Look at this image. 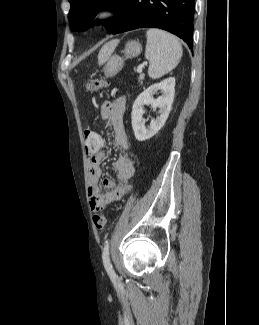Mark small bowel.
I'll return each instance as SVG.
<instances>
[{
	"label": "small bowel",
	"mask_w": 259,
	"mask_h": 325,
	"mask_svg": "<svg viewBox=\"0 0 259 325\" xmlns=\"http://www.w3.org/2000/svg\"><path fill=\"white\" fill-rule=\"evenodd\" d=\"M125 109V99L108 100L101 106L100 117L106 127L112 128L115 144L124 151H127L129 143L124 127ZM102 139L103 144L100 149H86V154L89 159L88 197L93 210L101 209L105 205L114 203L127 195L131 190L129 181L135 173L134 162L130 156L127 153L120 155L113 164L117 173V181L112 178H104L102 185L106 191L101 193V162L105 158V152L103 151L104 138L102 137Z\"/></svg>",
	"instance_id": "obj_1"
}]
</instances>
